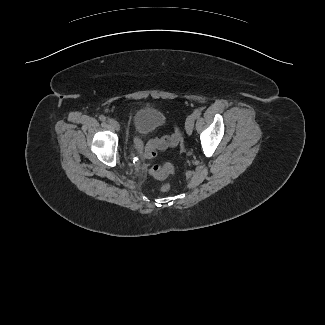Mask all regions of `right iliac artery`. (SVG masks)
Returning <instances> with one entry per match:
<instances>
[{
  "instance_id": "82829eb1",
  "label": "right iliac artery",
  "mask_w": 325,
  "mask_h": 325,
  "mask_svg": "<svg viewBox=\"0 0 325 325\" xmlns=\"http://www.w3.org/2000/svg\"><path fill=\"white\" fill-rule=\"evenodd\" d=\"M99 119H100L101 121H105V120H106V117H105L104 115H100V116H99Z\"/></svg>"
}]
</instances>
